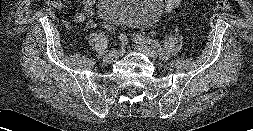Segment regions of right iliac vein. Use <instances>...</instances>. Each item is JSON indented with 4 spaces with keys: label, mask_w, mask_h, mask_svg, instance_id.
I'll list each match as a JSON object with an SVG mask.
<instances>
[{
    "label": "right iliac vein",
    "mask_w": 253,
    "mask_h": 131,
    "mask_svg": "<svg viewBox=\"0 0 253 131\" xmlns=\"http://www.w3.org/2000/svg\"><path fill=\"white\" fill-rule=\"evenodd\" d=\"M120 53H121L120 50L114 49L104 57V61L106 63H113L120 55Z\"/></svg>",
    "instance_id": "1"
}]
</instances>
